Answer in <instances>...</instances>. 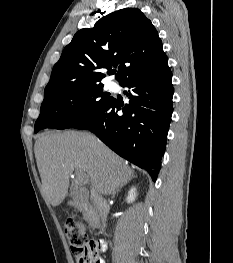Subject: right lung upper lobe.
I'll list each match as a JSON object with an SVG mask.
<instances>
[{
	"instance_id": "right-lung-upper-lobe-1",
	"label": "right lung upper lobe",
	"mask_w": 233,
	"mask_h": 263,
	"mask_svg": "<svg viewBox=\"0 0 233 263\" xmlns=\"http://www.w3.org/2000/svg\"><path fill=\"white\" fill-rule=\"evenodd\" d=\"M118 65L119 83L157 73L168 65L157 30L137 8L115 11L93 28L78 31L54 65L44 98L99 84L105 75L98 70Z\"/></svg>"
}]
</instances>
